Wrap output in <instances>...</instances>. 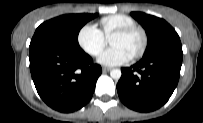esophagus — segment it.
Returning <instances> with one entry per match:
<instances>
[{
  "mask_svg": "<svg viewBox=\"0 0 203 123\" xmlns=\"http://www.w3.org/2000/svg\"><path fill=\"white\" fill-rule=\"evenodd\" d=\"M111 70V68H109V67H102V71L103 72H108V71H110Z\"/></svg>",
  "mask_w": 203,
  "mask_h": 123,
  "instance_id": "obj_1",
  "label": "esophagus"
}]
</instances>
